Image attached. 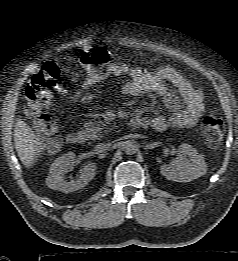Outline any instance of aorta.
<instances>
[{
	"label": "aorta",
	"instance_id": "obj_1",
	"mask_svg": "<svg viewBox=\"0 0 238 261\" xmlns=\"http://www.w3.org/2000/svg\"><path fill=\"white\" fill-rule=\"evenodd\" d=\"M122 149L125 154L132 155L138 151V145L134 140H127L123 143Z\"/></svg>",
	"mask_w": 238,
	"mask_h": 261
}]
</instances>
